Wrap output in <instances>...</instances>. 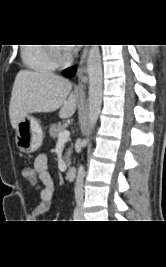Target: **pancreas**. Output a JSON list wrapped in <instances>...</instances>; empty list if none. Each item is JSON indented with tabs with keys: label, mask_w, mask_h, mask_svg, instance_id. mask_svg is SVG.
<instances>
[{
	"label": "pancreas",
	"mask_w": 166,
	"mask_h": 267,
	"mask_svg": "<svg viewBox=\"0 0 166 267\" xmlns=\"http://www.w3.org/2000/svg\"><path fill=\"white\" fill-rule=\"evenodd\" d=\"M65 131V126L61 123L53 124L49 128V133L52 138H57L61 132ZM70 156H71V150L68 149L66 152V162L68 165H70Z\"/></svg>",
	"instance_id": "obj_1"
}]
</instances>
